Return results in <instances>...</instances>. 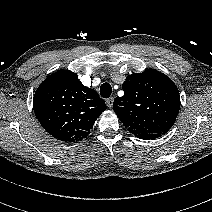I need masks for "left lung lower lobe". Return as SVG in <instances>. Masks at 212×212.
Masks as SVG:
<instances>
[{
    "label": "left lung lower lobe",
    "instance_id": "left-lung-lower-lobe-1",
    "mask_svg": "<svg viewBox=\"0 0 212 212\" xmlns=\"http://www.w3.org/2000/svg\"><path fill=\"white\" fill-rule=\"evenodd\" d=\"M160 136H161L160 134H149L148 136H146V137H144V138H141V139L150 140V139L158 138V137H160Z\"/></svg>",
    "mask_w": 212,
    "mask_h": 212
}]
</instances>
